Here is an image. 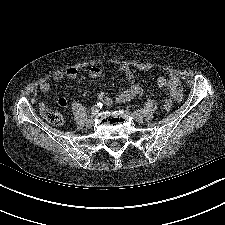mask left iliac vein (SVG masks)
<instances>
[{
	"mask_svg": "<svg viewBox=\"0 0 225 225\" xmlns=\"http://www.w3.org/2000/svg\"><path fill=\"white\" fill-rule=\"evenodd\" d=\"M132 118L137 122H142L144 120V115L139 114L138 112H128Z\"/></svg>",
	"mask_w": 225,
	"mask_h": 225,
	"instance_id": "left-iliac-vein-1",
	"label": "left iliac vein"
}]
</instances>
